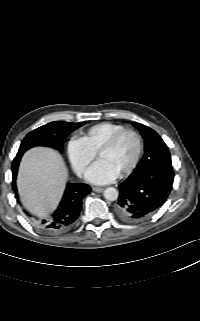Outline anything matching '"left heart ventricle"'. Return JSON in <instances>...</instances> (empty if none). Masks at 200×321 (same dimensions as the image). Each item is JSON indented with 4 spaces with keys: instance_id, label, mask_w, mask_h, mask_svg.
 I'll use <instances>...</instances> for the list:
<instances>
[{
    "instance_id": "b2bd125f",
    "label": "left heart ventricle",
    "mask_w": 200,
    "mask_h": 321,
    "mask_svg": "<svg viewBox=\"0 0 200 321\" xmlns=\"http://www.w3.org/2000/svg\"><path fill=\"white\" fill-rule=\"evenodd\" d=\"M137 142L132 134H125L111 149L100 153L99 158L107 161L119 174L132 162Z\"/></svg>"
}]
</instances>
